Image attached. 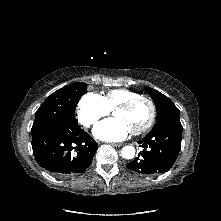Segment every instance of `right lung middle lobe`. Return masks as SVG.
<instances>
[{
  "label": "right lung middle lobe",
  "instance_id": "dd1d6c3e",
  "mask_svg": "<svg viewBox=\"0 0 221 221\" xmlns=\"http://www.w3.org/2000/svg\"><path fill=\"white\" fill-rule=\"evenodd\" d=\"M87 86L86 83L75 82L52 93L37 110L31 132L52 122L78 124L75 109Z\"/></svg>",
  "mask_w": 221,
  "mask_h": 221
}]
</instances>
